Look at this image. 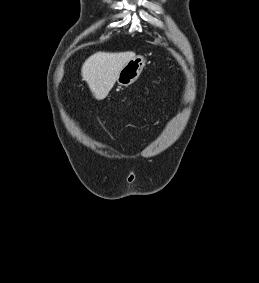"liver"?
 Returning <instances> with one entry per match:
<instances>
[{
	"label": "liver",
	"instance_id": "1",
	"mask_svg": "<svg viewBox=\"0 0 259 283\" xmlns=\"http://www.w3.org/2000/svg\"><path fill=\"white\" fill-rule=\"evenodd\" d=\"M135 56L134 52H97L84 62L82 79L97 100L107 97L121 69Z\"/></svg>",
	"mask_w": 259,
	"mask_h": 283
}]
</instances>
